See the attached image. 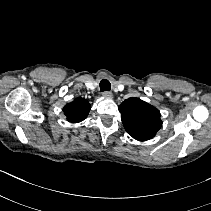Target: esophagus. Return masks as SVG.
Listing matches in <instances>:
<instances>
[{"label": "esophagus", "mask_w": 211, "mask_h": 211, "mask_svg": "<svg viewBox=\"0 0 211 211\" xmlns=\"http://www.w3.org/2000/svg\"><path fill=\"white\" fill-rule=\"evenodd\" d=\"M102 95H103V97L109 98V99H111L113 97V94L110 91H104L102 93Z\"/></svg>", "instance_id": "34e87169"}]
</instances>
